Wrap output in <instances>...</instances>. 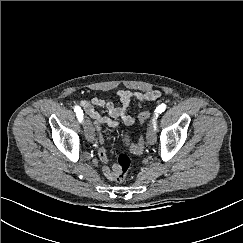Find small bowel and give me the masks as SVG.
Here are the masks:
<instances>
[{
  "label": "small bowel",
  "mask_w": 243,
  "mask_h": 243,
  "mask_svg": "<svg viewBox=\"0 0 243 243\" xmlns=\"http://www.w3.org/2000/svg\"><path fill=\"white\" fill-rule=\"evenodd\" d=\"M116 95L119 103L115 104L110 99L94 97L89 100H82L81 107L85 113L93 119L95 128L98 132L97 155L99 160L104 164L102 172L109 180H114L115 171L113 167L107 166L109 160L106 155V150L103 146L105 134L102 132V126L117 127L119 125L118 118H121L126 125H132L135 122V117L129 114L128 108L132 101L141 105L143 102L154 101L161 95L158 90H148L144 92H133L129 90H118ZM95 107H102L108 111L109 116L100 115Z\"/></svg>",
  "instance_id": "c3829d8e"
}]
</instances>
